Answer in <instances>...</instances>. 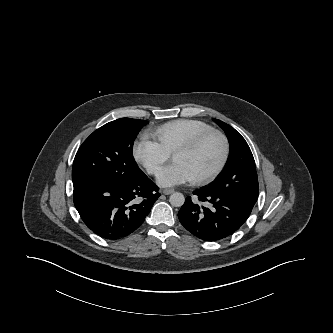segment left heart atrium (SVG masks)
Segmentation results:
<instances>
[{
	"mask_svg": "<svg viewBox=\"0 0 333 333\" xmlns=\"http://www.w3.org/2000/svg\"><path fill=\"white\" fill-rule=\"evenodd\" d=\"M191 173L179 162H173L167 166L158 178V183L162 186H174L192 181Z\"/></svg>",
	"mask_w": 333,
	"mask_h": 333,
	"instance_id": "1",
	"label": "left heart atrium"
}]
</instances>
